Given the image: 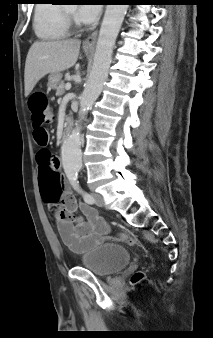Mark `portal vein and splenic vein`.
<instances>
[{
  "instance_id": "1",
  "label": "portal vein and splenic vein",
  "mask_w": 213,
  "mask_h": 338,
  "mask_svg": "<svg viewBox=\"0 0 213 338\" xmlns=\"http://www.w3.org/2000/svg\"><path fill=\"white\" fill-rule=\"evenodd\" d=\"M65 89H66V90H70V89H71V83H67V84L65 85Z\"/></svg>"
}]
</instances>
